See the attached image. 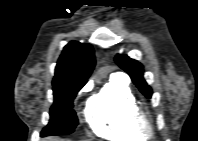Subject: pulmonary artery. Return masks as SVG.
Instances as JSON below:
<instances>
[{
	"label": "pulmonary artery",
	"instance_id": "e3ab8cb5",
	"mask_svg": "<svg viewBox=\"0 0 198 141\" xmlns=\"http://www.w3.org/2000/svg\"><path fill=\"white\" fill-rule=\"evenodd\" d=\"M112 78L125 80L126 76L124 74H122V73H114V74H112Z\"/></svg>",
	"mask_w": 198,
	"mask_h": 141
}]
</instances>
